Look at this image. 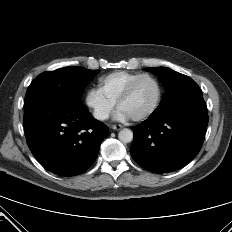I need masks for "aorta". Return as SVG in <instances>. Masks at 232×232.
Instances as JSON below:
<instances>
[{"mask_svg": "<svg viewBox=\"0 0 232 232\" xmlns=\"http://www.w3.org/2000/svg\"><path fill=\"white\" fill-rule=\"evenodd\" d=\"M118 138L123 143H129L133 140V132L130 129L124 128L120 130Z\"/></svg>", "mask_w": 232, "mask_h": 232, "instance_id": "obj_1", "label": "aorta"}]
</instances>
